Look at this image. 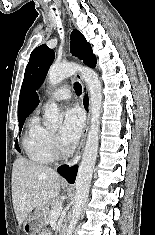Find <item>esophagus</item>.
Segmentation results:
<instances>
[{
  "label": "esophagus",
  "mask_w": 155,
  "mask_h": 235,
  "mask_svg": "<svg viewBox=\"0 0 155 235\" xmlns=\"http://www.w3.org/2000/svg\"><path fill=\"white\" fill-rule=\"evenodd\" d=\"M75 77L81 83V86H82L81 105H82V108H83L84 113H85L86 122H85V126H84V129H83V132H82V137H81L80 144H79V146L76 150L75 155L69 161V163H68L69 166L76 165L80 161L81 155H82V152L84 150L85 143H86V138H87V135H88V132H89L90 123H91V106H90V94H89L88 86L83 81V79H82L79 72H77L75 74Z\"/></svg>",
  "instance_id": "obj_1"
}]
</instances>
